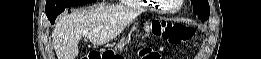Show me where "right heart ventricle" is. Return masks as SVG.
I'll use <instances>...</instances> for the list:
<instances>
[{
	"label": "right heart ventricle",
	"mask_w": 261,
	"mask_h": 59,
	"mask_svg": "<svg viewBox=\"0 0 261 59\" xmlns=\"http://www.w3.org/2000/svg\"><path fill=\"white\" fill-rule=\"evenodd\" d=\"M147 8H150V9H152V10H153V9H155V7H154V6H152V7H147Z\"/></svg>",
	"instance_id": "e07e8e85"
}]
</instances>
